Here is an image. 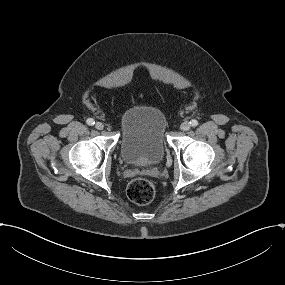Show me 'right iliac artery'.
I'll list each match as a JSON object with an SVG mask.
<instances>
[{"mask_svg": "<svg viewBox=\"0 0 285 285\" xmlns=\"http://www.w3.org/2000/svg\"><path fill=\"white\" fill-rule=\"evenodd\" d=\"M86 122L88 125H94L95 124V121L92 118L87 119Z\"/></svg>", "mask_w": 285, "mask_h": 285, "instance_id": "obj_1", "label": "right iliac artery"}]
</instances>
